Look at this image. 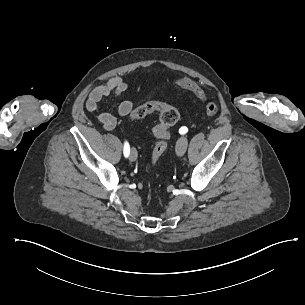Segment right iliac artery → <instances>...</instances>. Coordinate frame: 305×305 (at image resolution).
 <instances>
[{
	"label": "right iliac artery",
	"instance_id": "obj_1",
	"mask_svg": "<svg viewBox=\"0 0 305 305\" xmlns=\"http://www.w3.org/2000/svg\"><path fill=\"white\" fill-rule=\"evenodd\" d=\"M123 153H124V156H125V157H128V156H129V153H130V146H129L128 142H125V144H124V151H123Z\"/></svg>",
	"mask_w": 305,
	"mask_h": 305
}]
</instances>
